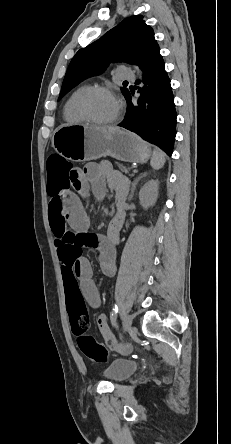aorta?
Instances as JSON below:
<instances>
[{
    "instance_id": "762f6f07",
    "label": "aorta",
    "mask_w": 231,
    "mask_h": 444,
    "mask_svg": "<svg viewBox=\"0 0 231 444\" xmlns=\"http://www.w3.org/2000/svg\"><path fill=\"white\" fill-rule=\"evenodd\" d=\"M135 69H136V71H137V74H138V75H139V77L141 78V76H142V73H141L140 69H139L138 67H135Z\"/></svg>"
}]
</instances>
